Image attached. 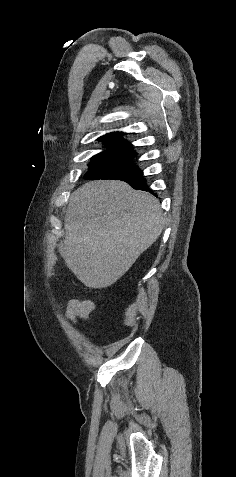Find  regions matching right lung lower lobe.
Returning a JSON list of instances; mask_svg holds the SVG:
<instances>
[{"label": "right lung lower lobe", "instance_id": "right-lung-lower-lobe-1", "mask_svg": "<svg viewBox=\"0 0 236 477\" xmlns=\"http://www.w3.org/2000/svg\"><path fill=\"white\" fill-rule=\"evenodd\" d=\"M101 179L122 180L130 184L134 189L149 190L146 184V179L143 177V172L136 165L126 167Z\"/></svg>", "mask_w": 236, "mask_h": 477}]
</instances>
